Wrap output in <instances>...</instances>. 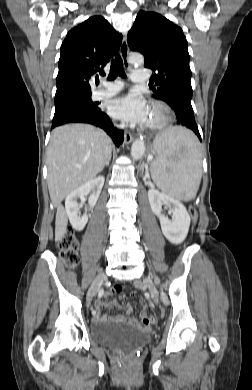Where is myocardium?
<instances>
[{"instance_id":"f54148a6","label":"myocardium","mask_w":252,"mask_h":390,"mask_svg":"<svg viewBox=\"0 0 252 390\" xmlns=\"http://www.w3.org/2000/svg\"><path fill=\"white\" fill-rule=\"evenodd\" d=\"M151 109L156 110L160 113V118L146 125V128L151 131H157L165 128L172 118V110L171 108L161 101H155L150 106Z\"/></svg>"}]
</instances>
